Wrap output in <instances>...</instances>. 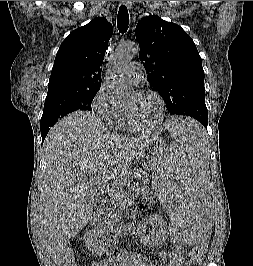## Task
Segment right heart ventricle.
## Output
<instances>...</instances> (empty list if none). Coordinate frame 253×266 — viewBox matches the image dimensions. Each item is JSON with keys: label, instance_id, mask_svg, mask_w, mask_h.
Returning <instances> with one entry per match:
<instances>
[{"label": "right heart ventricle", "instance_id": "e07e8e85", "mask_svg": "<svg viewBox=\"0 0 253 266\" xmlns=\"http://www.w3.org/2000/svg\"><path fill=\"white\" fill-rule=\"evenodd\" d=\"M118 127H122V128H128V123H127V119H126V116H123L122 119H120L117 124H116Z\"/></svg>", "mask_w": 253, "mask_h": 266}]
</instances>
